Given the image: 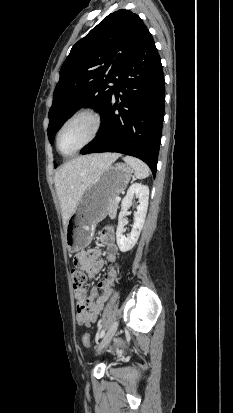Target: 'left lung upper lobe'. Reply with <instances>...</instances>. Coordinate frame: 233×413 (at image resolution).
Returning a JSON list of instances; mask_svg holds the SVG:
<instances>
[{"label":"left lung upper lobe","mask_w":233,"mask_h":413,"mask_svg":"<svg viewBox=\"0 0 233 413\" xmlns=\"http://www.w3.org/2000/svg\"><path fill=\"white\" fill-rule=\"evenodd\" d=\"M148 31L142 19L128 10L109 14L88 35L79 40L60 69L49 110L48 138L83 105L104 113L109 105L117 77Z\"/></svg>","instance_id":"1"}]
</instances>
